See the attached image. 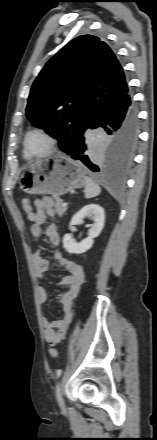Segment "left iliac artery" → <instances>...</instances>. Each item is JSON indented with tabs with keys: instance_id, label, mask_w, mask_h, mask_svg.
<instances>
[{
	"instance_id": "obj_1",
	"label": "left iliac artery",
	"mask_w": 157,
	"mask_h": 440,
	"mask_svg": "<svg viewBox=\"0 0 157 440\" xmlns=\"http://www.w3.org/2000/svg\"><path fill=\"white\" fill-rule=\"evenodd\" d=\"M61 373H62V369H58V370L56 371V377L59 378L60 375H61Z\"/></svg>"
}]
</instances>
